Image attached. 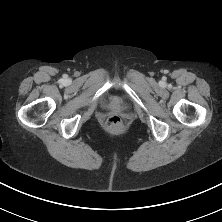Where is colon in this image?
Segmentation results:
<instances>
[{
	"label": "colon",
	"mask_w": 222,
	"mask_h": 222,
	"mask_svg": "<svg viewBox=\"0 0 222 222\" xmlns=\"http://www.w3.org/2000/svg\"><path fill=\"white\" fill-rule=\"evenodd\" d=\"M123 125V121L120 116L112 115L107 120V126L112 129H120Z\"/></svg>",
	"instance_id": "5ec220e1"
}]
</instances>
